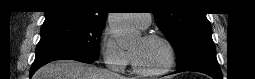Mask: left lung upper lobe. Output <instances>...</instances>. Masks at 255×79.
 Segmentation results:
<instances>
[{
    "label": "left lung upper lobe",
    "instance_id": "5c2ea615",
    "mask_svg": "<svg viewBox=\"0 0 255 79\" xmlns=\"http://www.w3.org/2000/svg\"><path fill=\"white\" fill-rule=\"evenodd\" d=\"M162 9L154 14L159 29L177 53V68L189 63L216 59L212 29L205 13L191 10L167 11L169 1H159Z\"/></svg>",
    "mask_w": 255,
    "mask_h": 79
}]
</instances>
